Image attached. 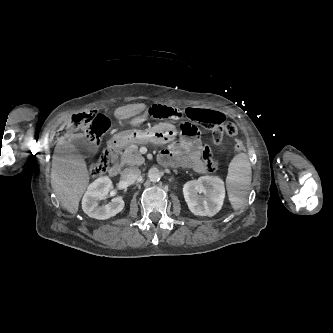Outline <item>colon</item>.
I'll list each match as a JSON object with an SVG mask.
<instances>
[{
	"label": "colon",
	"instance_id": "obj_1",
	"mask_svg": "<svg viewBox=\"0 0 333 333\" xmlns=\"http://www.w3.org/2000/svg\"><path fill=\"white\" fill-rule=\"evenodd\" d=\"M147 117L152 119H167V118H178L179 112L173 108L154 105L149 108L146 112ZM187 116L192 120L202 122V114L197 109H188L186 111ZM212 129V139L214 143L220 144L225 137L235 136L237 134L236 126L230 122H216L208 124ZM69 127L75 130H81L92 149H97L100 143L102 134L108 129L109 123L105 117L92 116L88 113H79L72 116ZM181 132L183 135L188 137L196 136V129L186 123L182 126ZM68 133V129L60 131V136L65 137ZM236 152H243L245 144L243 141L238 140L234 144ZM202 159L204 161L205 169L208 172H213L218 168V159L215 158L209 147H204L201 152ZM110 161V154L108 150H104L96 163L90 165V174L93 176L100 175L107 170Z\"/></svg>",
	"mask_w": 333,
	"mask_h": 333
}]
</instances>
